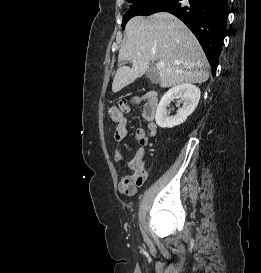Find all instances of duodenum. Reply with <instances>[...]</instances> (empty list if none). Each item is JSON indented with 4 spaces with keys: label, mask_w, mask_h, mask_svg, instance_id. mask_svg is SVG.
Listing matches in <instances>:
<instances>
[{
    "label": "duodenum",
    "mask_w": 261,
    "mask_h": 273,
    "mask_svg": "<svg viewBox=\"0 0 261 273\" xmlns=\"http://www.w3.org/2000/svg\"><path fill=\"white\" fill-rule=\"evenodd\" d=\"M153 98H156V94L155 93H151Z\"/></svg>",
    "instance_id": "duodenum-1"
}]
</instances>
